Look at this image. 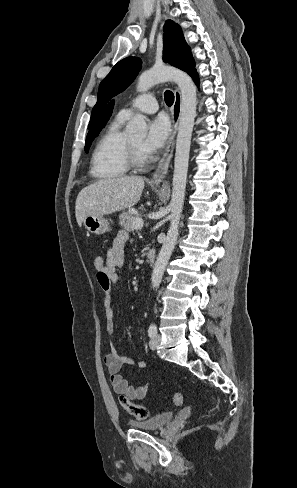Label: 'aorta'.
<instances>
[{"mask_svg":"<svg viewBox=\"0 0 297 488\" xmlns=\"http://www.w3.org/2000/svg\"><path fill=\"white\" fill-rule=\"evenodd\" d=\"M166 81H173L178 85L181 93V107L174 159L173 188L169 205L171 209L170 227L154 265L151 278L153 288H158L162 281L179 235V221L185 199L191 137L197 109L196 86L186 73L178 69L162 66L145 71L138 79L137 91H147L155 84ZM126 130L131 134L145 133L147 130L145 116L134 115L127 124Z\"/></svg>","mask_w":297,"mask_h":488,"instance_id":"obj_1","label":"aorta"}]
</instances>
